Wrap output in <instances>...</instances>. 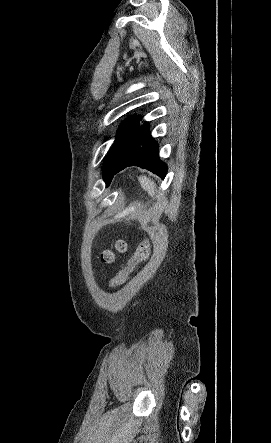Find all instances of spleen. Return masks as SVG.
<instances>
[{"instance_id": "3e777b00", "label": "spleen", "mask_w": 271, "mask_h": 443, "mask_svg": "<svg viewBox=\"0 0 271 443\" xmlns=\"http://www.w3.org/2000/svg\"><path fill=\"white\" fill-rule=\"evenodd\" d=\"M138 182H140V186H142L143 190L148 192L149 196H154L156 192L154 182H151L146 176H139Z\"/></svg>"}]
</instances>
